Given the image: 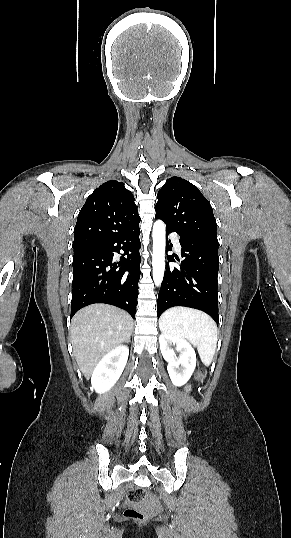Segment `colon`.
Instances as JSON below:
<instances>
[{"label": "colon", "instance_id": "1", "mask_svg": "<svg viewBox=\"0 0 291 538\" xmlns=\"http://www.w3.org/2000/svg\"><path fill=\"white\" fill-rule=\"evenodd\" d=\"M204 378V372L197 374V379L202 380ZM144 498V491L140 488H133L127 493V499L131 503L140 502ZM125 516L131 519L145 521L149 518V514L144 511L137 510L135 508H128L125 511Z\"/></svg>", "mask_w": 291, "mask_h": 538}]
</instances>
